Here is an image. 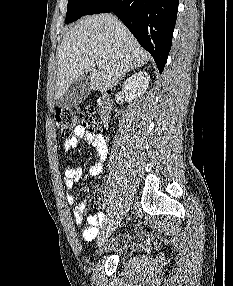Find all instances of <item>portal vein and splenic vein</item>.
<instances>
[{"label": "portal vein and splenic vein", "instance_id": "18ae733b", "mask_svg": "<svg viewBox=\"0 0 233 286\" xmlns=\"http://www.w3.org/2000/svg\"><path fill=\"white\" fill-rule=\"evenodd\" d=\"M97 65L100 69L104 68V62H97Z\"/></svg>", "mask_w": 233, "mask_h": 286}]
</instances>
